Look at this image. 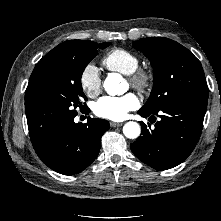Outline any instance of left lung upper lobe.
Listing matches in <instances>:
<instances>
[{
    "label": "left lung upper lobe",
    "mask_w": 221,
    "mask_h": 221,
    "mask_svg": "<svg viewBox=\"0 0 221 221\" xmlns=\"http://www.w3.org/2000/svg\"><path fill=\"white\" fill-rule=\"evenodd\" d=\"M154 69V86L145 112H157L184 98L207 101L208 88L200 61L181 44L164 37H149L133 43Z\"/></svg>",
    "instance_id": "obj_1"
}]
</instances>
